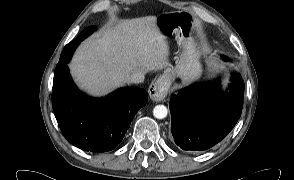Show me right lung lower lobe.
<instances>
[{
	"label": "right lung lower lobe",
	"mask_w": 294,
	"mask_h": 180,
	"mask_svg": "<svg viewBox=\"0 0 294 180\" xmlns=\"http://www.w3.org/2000/svg\"><path fill=\"white\" fill-rule=\"evenodd\" d=\"M81 41L67 44L55 68L52 106L65 138L91 152H107L123 139L138 110L146 105L148 93L141 88H121L95 99L80 92L73 83L67 63Z\"/></svg>",
	"instance_id": "obj_1"
}]
</instances>
